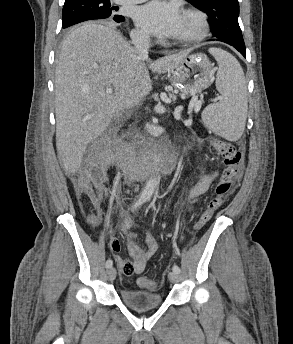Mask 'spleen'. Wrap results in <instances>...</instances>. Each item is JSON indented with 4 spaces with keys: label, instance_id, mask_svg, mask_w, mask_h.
<instances>
[{
    "label": "spleen",
    "instance_id": "1",
    "mask_svg": "<svg viewBox=\"0 0 293 344\" xmlns=\"http://www.w3.org/2000/svg\"><path fill=\"white\" fill-rule=\"evenodd\" d=\"M209 52L218 63L216 88L219 102L202 112L203 123L216 135L229 141L238 140L245 129L247 117V90L243 69L237 59L219 48Z\"/></svg>",
    "mask_w": 293,
    "mask_h": 344
}]
</instances>
